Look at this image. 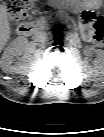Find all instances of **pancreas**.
<instances>
[{
    "instance_id": "obj_1",
    "label": "pancreas",
    "mask_w": 104,
    "mask_h": 137,
    "mask_svg": "<svg viewBox=\"0 0 104 137\" xmlns=\"http://www.w3.org/2000/svg\"><path fill=\"white\" fill-rule=\"evenodd\" d=\"M35 25H36L37 27L43 28V27H45V26L48 25V24H47L46 19H45L44 17H42V18H40L39 20H37V21L35 22Z\"/></svg>"
}]
</instances>
